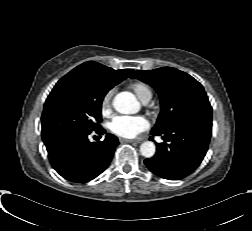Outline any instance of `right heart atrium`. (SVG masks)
Here are the masks:
<instances>
[{
	"label": "right heart atrium",
	"instance_id": "d8ad5b80",
	"mask_svg": "<svg viewBox=\"0 0 252 231\" xmlns=\"http://www.w3.org/2000/svg\"><path fill=\"white\" fill-rule=\"evenodd\" d=\"M116 92V88H110L102 97L101 100V111L103 114H106L110 111L112 107V99Z\"/></svg>",
	"mask_w": 252,
	"mask_h": 231
}]
</instances>
